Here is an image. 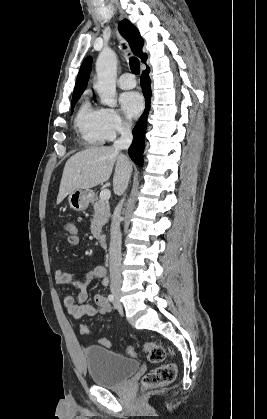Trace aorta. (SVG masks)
Here are the masks:
<instances>
[{
  "label": "aorta",
  "instance_id": "obj_1",
  "mask_svg": "<svg viewBox=\"0 0 267 419\" xmlns=\"http://www.w3.org/2000/svg\"><path fill=\"white\" fill-rule=\"evenodd\" d=\"M97 83L95 89L101 103L109 107L117 105L116 100V75L117 56L111 49L100 52L96 61Z\"/></svg>",
  "mask_w": 267,
  "mask_h": 419
}]
</instances>
